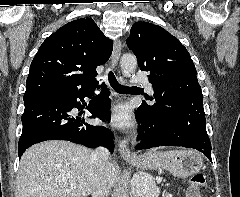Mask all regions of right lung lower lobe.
Returning a JSON list of instances; mask_svg holds the SVG:
<instances>
[{"instance_id": "98d812e1", "label": "right lung lower lobe", "mask_w": 240, "mask_h": 197, "mask_svg": "<svg viewBox=\"0 0 240 197\" xmlns=\"http://www.w3.org/2000/svg\"><path fill=\"white\" fill-rule=\"evenodd\" d=\"M95 87L84 91H57L24 100L22 135L18 144L19 158L33 144L46 140H67L89 148L107 147L113 152V134L104 126H92L72 115L73 108L83 109L80 103L91 97ZM104 86L95 102L89 106L91 117L109 119L110 99Z\"/></svg>"}]
</instances>
